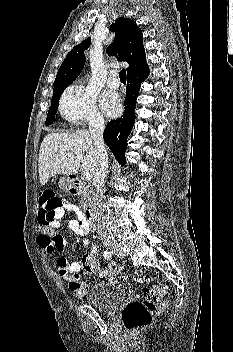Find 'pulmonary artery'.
<instances>
[{
  "label": "pulmonary artery",
  "instance_id": "pulmonary-artery-1",
  "mask_svg": "<svg viewBox=\"0 0 233 352\" xmlns=\"http://www.w3.org/2000/svg\"><path fill=\"white\" fill-rule=\"evenodd\" d=\"M107 85L110 87V88H118L119 85H120V81L119 79L117 78V72L115 70H112L110 71L109 73V78L107 80Z\"/></svg>",
  "mask_w": 233,
  "mask_h": 352
}]
</instances>
